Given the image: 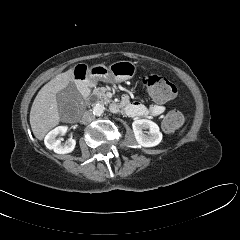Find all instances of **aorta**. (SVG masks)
<instances>
[{"label": "aorta", "instance_id": "1", "mask_svg": "<svg viewBox=\"0 0 240 240\" xmlns=\"http://www.w3.org/2000/svg\"><path fill=\"white\" fill-rule=\"evenodd\" d=\"M104 110H105L104 105L96 104L93 107V114L96 116H101L104 113Z\"/></svg>", "mask_w": 240, "mask_h": 240}]
</instances>
